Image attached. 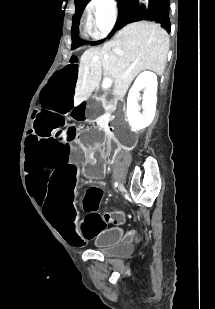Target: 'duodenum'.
Wrapping results in <instances>:
<instances>
[{
    "label": "duodenum",
    "instance_id": "410a0bca",
    "mask_svg": "<svg viewBox=\"0 0 215 309\" xmlns=\"http://www.w3.org/2000/svg\"><path fill=\"white\" fill-rule=\"evenodd\" d=\"M101 127L105 129V131L108 133V135L114 134V128L112 125V122L110 120H103L100 123Z\"/></svg>",
    "mask_w": 215,
    "mask_h": 309
}]
</instances>
